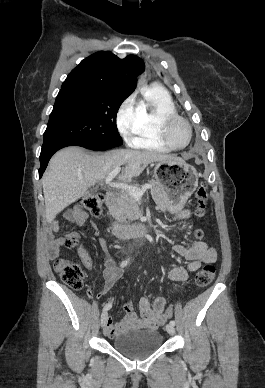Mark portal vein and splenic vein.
<instances>
[{
	"mask_svg": "<svg viewBox=\"0 0 265 388\" xmlns=\"http://www.w3.org/2000/svg\"><path fill=\"white\" fill-rule=\"evenodd\" d=\"M119 172H121V168L120 166H118V168H115V170H113V172H111V174H108L107 178H106V184H109V186H111V188H121V190H127V192H129L131 198H142L144 192H146V190H148V188H152V186H150V184H144V186H142V188H135V186H128V184H114V182H112L113 178H116L117 174H119Z\"/></svg>",
	"mask_w": 265,
	"mask_h": 388,
	"instance_id": "1",
	"label": "portal vein and splenic vein"
}]
</instances>
